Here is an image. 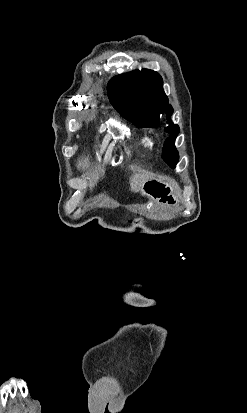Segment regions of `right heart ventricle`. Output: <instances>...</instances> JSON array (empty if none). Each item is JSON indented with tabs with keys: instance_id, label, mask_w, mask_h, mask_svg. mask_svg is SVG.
I'll use <instances>...</instances> for the list:
<instances>
[{
	"instance_id": "obj_1",
	"label": "right heart ventricle",
	"mask_w": 247,
	"mask_h": 413,
	"mask_svg": "<svg viewBox=\"0 0 247 413\" xmlns=\"http://www.w3.org/2000/svg\"><path fill=\"white\" fill-rule=\"evenodd\" d=\"M142 144L145 146V147H152V141H151V139L149 138V137H147V136H145V137H143L142 138Z\"/></svg>"
}]
</instances>
